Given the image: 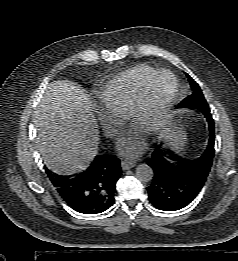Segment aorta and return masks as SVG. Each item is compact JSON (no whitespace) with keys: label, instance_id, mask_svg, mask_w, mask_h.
I'll list each match as a JSON object with an SVG mask.
<instances>
[{"label":"aorta","instance_id":"aorta-1","mask_svg":"<svg viewBox=\"0 0 238 261\" xmlns=\"http://www.w3.org/2000/svg\"><path fill=\"white\" fill-rule=\"evenodd\" d=\"M153 170L147 164H140L136 167V177L141 182H149L153 179Z\"/></svg>","mask_w":238,"mask_h":261}]
</instances>
